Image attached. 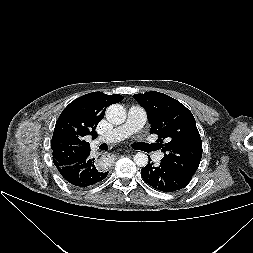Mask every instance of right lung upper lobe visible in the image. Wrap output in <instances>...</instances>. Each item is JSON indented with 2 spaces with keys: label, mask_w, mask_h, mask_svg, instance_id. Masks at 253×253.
Wrapping results in <instances>:
<instances>
[{
  "label": "right lung upper lobe",
  "mask_w": 253,
  "mask_h": 253,
  "mask_svg": "<svg viewBox=\"0 0 253 253\" xmlns=\"http://www.w3.org/2000/svg\"><path fill=\"white\" fill-rule=\"evenodd\" d=\"M122 100L119 94L92 92L72 101L55 125L51 142L55 166L72 165L89 157L90 144L84 137L96 138V126L103 119L106 108Z\"/></svg>",
  "instance_id": "cb5924a9"
}]
</instances>
